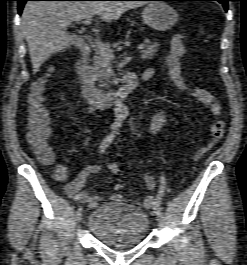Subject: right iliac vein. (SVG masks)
<instances>
[{"label":"right iliac vein","instance_id":"obj_1","mask_svg":"<svg viewBox=\"0 0 247 265\" xmlns=\"http://www.w3.org/2000/svg\"><path fill=\"white\" fill-rule=\"evenodd\" d=\"M82 214H83V211H82V208H79L77 211H76V214H75V220L77 223H79L82 219Z\"/></svg>","mask_w":247,"mask_h":265}]
</instances>
